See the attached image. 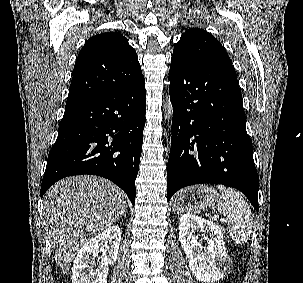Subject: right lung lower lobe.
Wrapping results in <instances>:
<instances>
[{"mask_svg":"<svg viewBox=\"0 0 303 283\" xmlns=\"http://www.w3.org/2000/svg\"><path fill=\"white\" fill-rule=\"evenodd\" d=\"M145 110L144 77L119 91L65 107L41 196L64 177L91 174L114 182L134 205Z\"/></svg>","mask_w":303,"mask_h":283,"instance_id":"obj_1","label":"right lung lower lobe"}]
</instances>
